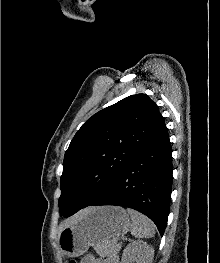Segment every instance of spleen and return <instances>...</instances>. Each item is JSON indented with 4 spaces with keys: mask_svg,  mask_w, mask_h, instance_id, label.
<instances>
[{
    "mask_svg": "<svg viewBox=\"0 0 220 263\" xmlns=\"http://www.w3.org/2000/svg\"><path fill=\"white\" fill-rule=\"evenodd\" d=\"M127 212L132 220L131 234L133 236L137 238H150L155 234V225L149 218L129 208Z\"/></svg>",
    "mask_w": 220,
    "mask_h": 263,
    "instance_id": "spleen-1",
    "label": "spleen"
}]
</instances>
